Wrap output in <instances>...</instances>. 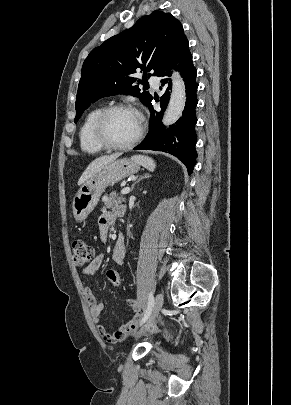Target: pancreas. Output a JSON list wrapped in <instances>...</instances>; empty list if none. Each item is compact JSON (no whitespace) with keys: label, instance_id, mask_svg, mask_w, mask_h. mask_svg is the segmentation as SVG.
Here are the masks:
<instances>
[{"label":"pancreas","instance_id":"obj_1","mask_svg":"<svg viewBox=\"0 0 291 405\" xmlns=\"http://www.w3.org/2000/svg\"><path fill=\"white\" fill-rule=\"evenodd\" d=\"M122 202H125V197L119 196L118 194L112 192L109 197L105 195L103 197V203L105 205L104 208H113L114 206H117L118 204H121Z\"/></svg>","mask_w":291,"mask_h":405}]
</instances>
